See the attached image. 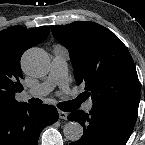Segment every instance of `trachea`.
Masks as SVG:
<instances>
[{
  "instance_id": "trachea-1",
  "label": "trachea",
  "mask_w": 145,
  "mask_h": 145,
  "mask_svg": "<svg viewBox=\"0 0 145 145\" xmlns=\"http://www.w3.org/2000/svg\"><path fill=\"white\" fill-rule=\"evenodd\" d=\"M29 103L33 105H39L42 103V101L38 98H32L29 100ZM58 108L65 112L73 111L78 107V102L76 100L73 101H66V102H61L58 105Z\"/></svg>"
}]
</instances>
